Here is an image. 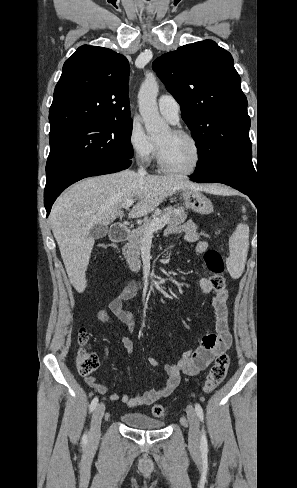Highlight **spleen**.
Masks as SVG:
<instances>
[{"mask_svg":"<svg viewBox=\"0 0 297 488\" xmlns=\"http://www.w3.org/2000/svg\"><path fill=\"white\" fill-rule=\"evenodd\" d=\"M249 246V228L238 224L229 239L230 255L227 258V269L232 278H239L244 270Z\"/></svg>","mask_w":297,"mask_h":488,"instance_id":"spleen-1","label":"spleen"}]
</instances>
